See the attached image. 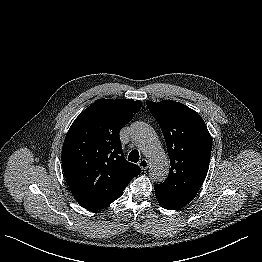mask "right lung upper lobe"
I'll list each match as a JSON object with an SVG mask.
<instances>
[{
    "instance_id": "1",
    "label": "right lung upper lobe",
    "mask_w": 262,
    "mask_h": 262,
    "mask_svg": "<svg viewBox=\"0 0 262 262\" xmlns=\"http://www.w3.org/2000/svg\"><path fill=\"white\" fill-rule=\"evenodd\" d=\"M141 106L138 100L98 99L72 123L62 148V166L83 208L97 211L108 206L141 172L125 160L119 137Z\"/></svg>"
}]
</instances>
